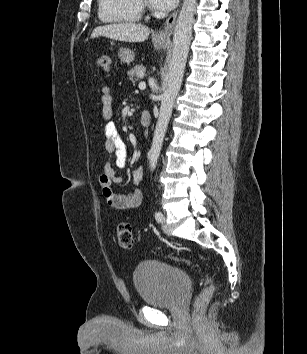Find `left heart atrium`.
<instances>
[{
    "mask_svg": "<svg viewBox=\"0 0 307 354\" xmlns=\"http://www.w3.org/2000/svg\"><path fill=\"white\" fill-rule=\"evenodd\" d=\"M178 0H149L150 5L161 11H167L172 9Z\"/></svg>",
    "mask_w": 307,
    "mask_h": 354,
    "instance_id": "left-heart-atrium-1",
    "label": "left heart atrium"
}]
</instances>
